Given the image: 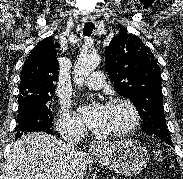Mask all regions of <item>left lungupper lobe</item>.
Returning a JSON list of instances; mask_svg holds the SVG:
<instances>
[{"label": "left lung upper lobe", "instance_id": "1", "mask_svg": "<svg viewBox=\"0 0 183 179\" xmlns=\"http://www.w3.org/2000/svg\"><path fill=\"white\" fill-rule=\"evenodd\" d=\"M105 66L115 91L130 99L143 120L145 133L162 141L170 139L161 92L157 60L148 47L122 27L105 49Z\"/></svg>", "mask_w": 183, "mask_h": 179}]
</instances>
